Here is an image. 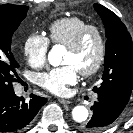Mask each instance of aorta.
Returning a JSON list of instances; mask_svg holds the SVG:
<instances>
[{"label":"aorta","instance_id":"762f6f07","mask_svg":"<svg viewBox=\"0 0 133 133\" xmlns=\"http://www.w3.org/2000/svg\"><path fill=\"white\" fill-rule=\"evenodd\" d=\"M62 50L60 47L55 46L48 54L49 63L52 66H59L61 64ZM88 109L85 106L78 105L72 110V118L77 123H84L88 119Z\"/></svg>","mask_w":133,"mask_h":133}]
</instances>
